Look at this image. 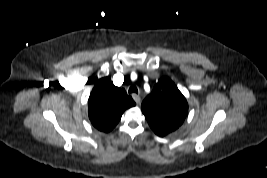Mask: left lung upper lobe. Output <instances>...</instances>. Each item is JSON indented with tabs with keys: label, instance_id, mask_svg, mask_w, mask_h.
Instances as JSON below:
<instances>
[{
	"label": "left lung upper lobe",
	"instance_id": "1",
	"mask_svg": "<svg viewBox=\"0 0 267 178\" xmlns=\"http://www.w3.org/2000/svg\"><path fill=\"white\" fill-rule=\"evenodd\" d=\"M141 109L152 130L164 137L183 123L188 104L176 85L162 77L142 102Z\"/></svg>",
	"mask_w": 267,
	"mask_h": 178
}]
</instances>
